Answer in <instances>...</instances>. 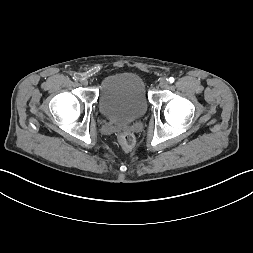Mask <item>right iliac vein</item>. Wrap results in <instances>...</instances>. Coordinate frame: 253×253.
Instances as JSON below:
<instances>
[{
  "instance_id": "right-iliac-vein-1",
  "label": "right iliac vein",
  "mask_w": 253,
  "mask_h": 253,
  "mask_svg": "<svg viewBox=\"0 0 253 253\" xmlns=\"http://www.w3.org/2000/svg\"><path fill=\"white\" fill-rule=\"evenodd\" d=\"M80 82L84 86L88 85V81L86 79H82Z\"/></svg>"
}]
</instances>
